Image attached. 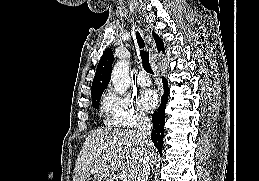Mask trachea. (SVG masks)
<instances>
[{
    "label": "trachea",
    "instance_id": "3493384b",
    "mask_svg": "<svg viewBox=\"0 0 259 181\" xmlns=\"http://www.w3.org/2000/svg\"><path fill=\"white\" fill-rule=\"evenodd\" d=\"M136 39H137L138 46L140 48V56H141L143 68L146 70V72L153 75L154 72L152 71V68L149 62V52L143 50V48L145 47V43L142 37L140 36L139 32H136Z\"/></svg>",
    "mask_w": 259,
    "mask_h": 181
}]
</instances>
